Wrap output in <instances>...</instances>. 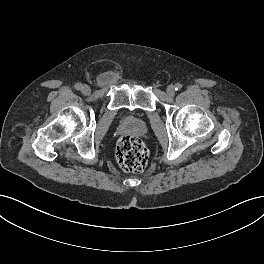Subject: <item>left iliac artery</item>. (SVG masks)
Masks as SVG:
<instances>
[{
    "label": "left iliac artery",
    "instance_id": "left-iliac-artery-1",
    "mask_svg": "<svg viewBox=\"0 0 264 264\" xmlns=\"http://www.w3.org/2000/svg\"><path fill=\"white\" fill-rule=\"evenodd\" d=\"M182 88V85L180 83L175 84V90L178 91Z\"/></svg>",
    "mask_w": 264,
    "mask_h": 264
}]
</instances>
